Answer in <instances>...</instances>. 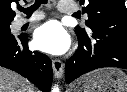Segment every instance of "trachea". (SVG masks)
<instances>
[{
	"label": "trachea",
	"mask_w": 127,
	"mask_h": 92,
	"mask_svg": "<svg viewBox=\"0 0 127 92\" xmlns=\"http://www.w3.org/2000/svg\"><path fill=\"white\" fill-rule=\"evenodd\" d=\"M47 3V0H36L35 3L30 6L29 8H19V11L25 13L27 16H31L33 11H35L36 9H38V7L41 5V4H46ZM73 16H80V14H73Z\"/></svg>",
	"instance_id": "obj_1"
}]
</instances>
